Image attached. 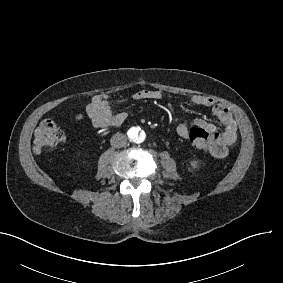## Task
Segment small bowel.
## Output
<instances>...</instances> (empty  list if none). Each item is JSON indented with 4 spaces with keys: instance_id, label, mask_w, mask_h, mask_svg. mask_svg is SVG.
I'll list each match as a JSON object with an SVG mask.
<instances>
[{
    "instance_id": "small-bowel-1",
    "label": "small bowel",
    "mask_w": 283,
    "mask_h": 283,
    "mask_svg": "<svg viewBox=\"0 0 283 283\" xmlns=\"http://www.w3.org/2000/svg\"><path fill=\"white\" fill-rule=\"evenodd\" d=\"M163 98L164 93L159 90L141 89L131 94V99L137 101H157ZM190 101L194 105L210 108L213 115L223 126V131L218 132L216 123L212 121L196 119L190 124L180 123L176 128L177 134L186 139V132L190 127H202L215 138V145L208 154L217 159L227 157L229 149L236 146L239 141L235 117L229 109L210 96L196 94L191 97ZM86 114L93 126L100 129L119 127L127 119L126 112L112 111L110 96L105 93L96 94L92 97L86 107Z\"/></svg>"
}]
</instances>
